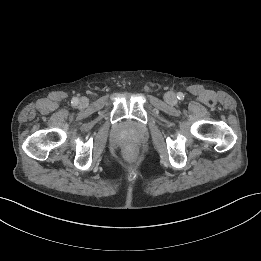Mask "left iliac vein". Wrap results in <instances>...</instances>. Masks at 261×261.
Listing matches in <instances>:
<instances>
[{
	"label": "left iliac vein",
	"instance_id": "left-iliac-vein-1",
	"mask_svg": "<svg viewBox=\"0 0 261 261\" xmlns=\"http://www.w3.org/2000/svg\"><path fill=\"white\" fill-rule=\"evenodd\" d=\"M165 100L170 103V104H173L176 102V96L174 93L172 92H168L166 95H165Z\"/></svg>",
	"mask_w": 261,
	"mask_h": 261
}]
</instances>
